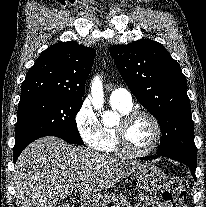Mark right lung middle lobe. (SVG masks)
Instances as JSON below:
<instances>
[{
  "mask_svg": "<svg viewBox=\"0 0 206 207\" xmlns=\"http://www.w3.org/2000/svg\"><path fill=\"white\" fill-rule=\"evenodd\" d=\"M82 100L56 96H36L19 102L15 146L26 147L43 136H56L68 143L83 145L75 116Z\"/></svg>",
  "mask_w": 206,
  "mask_h": 207,
  "instance_id": "right-lung-middle-lobe-1",
  "label": "right lung middle lobe"
}]
</instances>
